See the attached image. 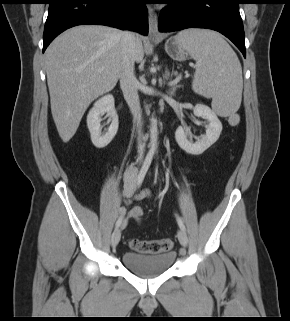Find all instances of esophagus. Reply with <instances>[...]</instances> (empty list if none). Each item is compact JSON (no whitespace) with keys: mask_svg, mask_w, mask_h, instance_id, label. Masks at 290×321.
<instances>
[{"mask_svg":"<svg viewBox=\"0 0 290 321\" xmlns=\"http://www.w3.org/2000/svg\"><path fill=\"white\" fill-rule=\"evenodd\" d=\"M148 23H149V32L148 38L150 40H154L159 38V31H158V16L153 8H148Z\"/></svg>","mask_w":290,"mask_h":321,"instance_id":"1","label":"esophagus"}]
</instances>
